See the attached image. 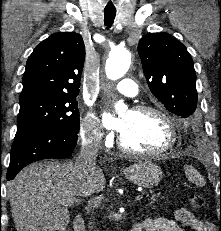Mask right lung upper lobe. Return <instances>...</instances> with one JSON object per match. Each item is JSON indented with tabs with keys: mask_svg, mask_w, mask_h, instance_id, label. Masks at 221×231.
Wrapping results in <instances>:
<instances>
[{
	"mask_svg": "<svg viewBox=\"0 0 221 231\" xmlns=\"http://www.w3.org/2000/svg\"><path fill=\"white\" fill-rule=\"evenodd\" d=\"M84 60L85 46L80 34H52L29 56L19 99L38 95L77 96Z\"/></svg>",
	"mask_w": 221,
	"mask_h": 231,
	"instance_id": "obj_1",
	"label": "right lung upper lobe"
}]
</instances>
